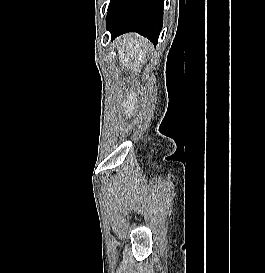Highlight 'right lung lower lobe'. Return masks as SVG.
<instances>
[{
	"instance_id": "98d812e1",
	"label": "right lung lower lobe",
	"mask_w": 265,
	"mask_h": 273,
	"mask_svg": "<svg viewBox=\"0 0 265 273\" xmlns=\"http://www.w3.org/2000/svg\"><path fill=\"white\" fill-rule=\"evenodd\" d=\"M163 6L164 0H115L106 17L112 40L126 32H137L157 44Z\"/></svg>"
}]
</instances>
